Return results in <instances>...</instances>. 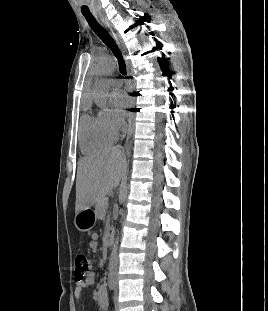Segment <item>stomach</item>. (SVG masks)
Segmentation results:
<instances>
[{"label": "stomach", "mask_w": 268, "mask_h": 311, "mask_svg": "<svg viewBox=\"0 0 268 311\" xmlns=\"http://www.w3.org/2000/svg\"><path fill=\"white\" fill-rule=\"evenodd\" d=\"M96 218L95 212L91 209V206H88L76 213L74 218L75 227L81 232L89 231L95 225Z\"/></svg>", "instance_id": "obj_1"}]
</instances>
